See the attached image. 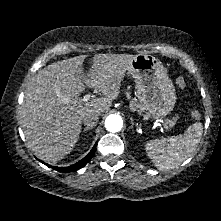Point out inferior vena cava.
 Listing matches in <instances>:
<instances>
[{
  "mask_svg": "<svg viewBox=\"0 0 221 221\" xmlns=\"http://www.w3.org/2000/svg\"><path fill=\"white\" fill-rule=\"evenodd\" d=\"M98 120H99V114L94 112L86 113L82 118L83 123L87 127H94L97 124Z\"/></svg>",
  "mask_w": 221,
  "mask_h": 221,
  "instance_id": "1",
  "label": "inferior vena cava"
}]
</instances>
